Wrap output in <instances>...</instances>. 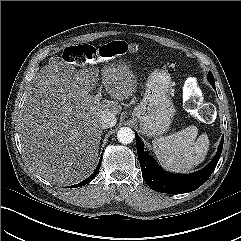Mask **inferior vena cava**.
Returning a JSON list of instances; mask_svg holds the SVG:
<instances>
[{
	"instance_id": "obj_1",
	"label": "inferior vena cava",
	"mask_w": 241,
	"mask_h": 241,
	"mask_svg": "<svg viewBox=\"0 0 241 241\" xmlns=\"http://www.w3.org/2000/svg\"><path fill=\"white\" fill-rule=\"evenodd\" d=\"M100 125L103 129L113 127L116 124V117L113 113L105 112L100 115Z\"/></svg>"
}]
</instances>
